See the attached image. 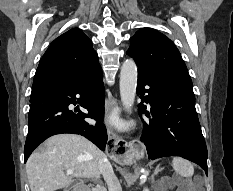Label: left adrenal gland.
Here are the masks:
<instances>
[{"instance_id": "a2214340", "label": "left adrenal gland", "mask_w": 233, "mask_h": 191, "mask_svg": "<svg viewBox=\"0 0 233 191\" xmlns=\"http://www.w3.org/2000/svg\"><path fill=\"white\" fill-rule=\"evenodd\" d=\"M159 171H160L159 166H157L155 169L154 175L157 174ZM154 175H153V178H154Z\"/></svg>"}]
</instances>
